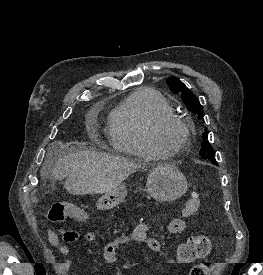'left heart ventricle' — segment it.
I'll list each match as a JSON object with an SVG mask.
<instances>
[{
	"mask_svg": "<svg viewBox=\"0 0 263 275\" xmlns=\"http://www.w3.org/2000/svg\"><path fill=\"white\" fill-rule=\"evenodd\" d=\"M182 137V130L175 125L166 126L159 133V138L161 139V141L169 146H174L178 144Z\"/></svg>",
	"mask_w": 263,
	"mask_h": 275,
	"instance_id": "obj_1",
	"label": "left heart ventricle"
}]
</instances>
